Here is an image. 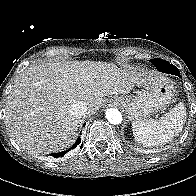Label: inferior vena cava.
<instances>
[{
  "instance_id": "inferior-vena-cava-1",
  "label": "inferior vena cava",
  "mask_w": 196,
  "mask_h": 196,
  "mask_svg": "<svg viewBox=\"0 0 196 196\" xmlns=\"http://www.w3.org/2000/svg\"><path fill=\"white\" fill-rule=\"evenodd\" d=\"M88 110L84 102H74L69 107V114L75 118H81Z\"/></svg>"
}]
</instances>
